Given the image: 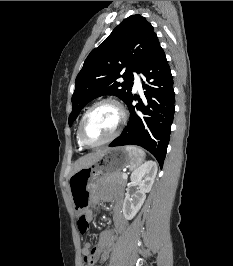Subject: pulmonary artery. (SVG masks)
Wrapping results in <instances>:
<instances>
[{
  "mask_svg": "<svg viewBox=\"0 0 233 266\" xmlns=\"http://www.w3.org/2000/svg\"><path fill=\"white\" fill-rule=\"evenodd\" d=\"M141 88V80L138 75L134 76V89H140Z\"/></svg>",
  "mask_w": 233,
  "mask_h": 266,
  "instance_id": "1",
  "label": "pulmonary artery"
}]
</instances>
